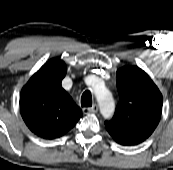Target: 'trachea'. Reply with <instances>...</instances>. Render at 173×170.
<instances>
[{"label": "trachea", "instance_id": "1", "mask_svg": "<svg viewBox=\"0 0 173 170\" xmlns=\"http://www.w3.org/2000/svg\"><path fill=\"white\" fill-rule=\"evenodd\" d=\"M81 106L91 107L92 106V95L91 92L86 90L81 96Z\"/></svg>", "mask_w": 173, "mask_h": 170}]
</instances>
